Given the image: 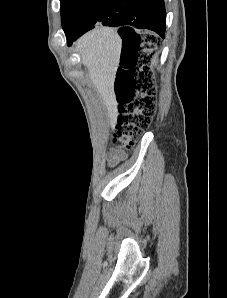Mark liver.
<instances>
[{
    "instance_id": "1",
    "label": "liver",
    "mask_w": 227,
    "mask_h": 298,
    "mask_svg": "<svg viewBox=\"0 0 227 298\" xmlns=\"http://www.w3.org/2000/svg\"><path fill=\"white\" fill-rule=\"evenodd\" d=\"M121 48L122 40L118 33L102 26L86 33L76 43L88 76L107 107L112 127L117 117L114 82Z\"/></svg>"
}]
</instances>
